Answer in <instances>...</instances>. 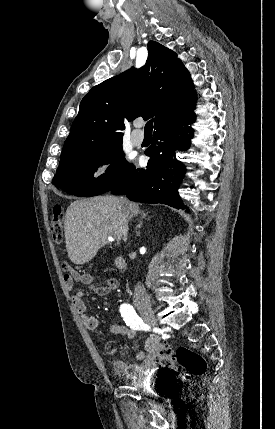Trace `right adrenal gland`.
<instances>
[{
    "label": "right adrenal gland",
    "instance_id": "1",
    "mask_svg": "<svg viewBox=\"0 0 275 429\" xmlns=\"http://www.w3.org/2000/svg\"><path fill=\"white\" fill-rule=\"evenodd\" d=\"M148 213H149V212H144L143 210H140V211H139V214H140V220H139L138 225L136 226V233H137V235H140V231H139V229H140V228H141V226L143 225V219H144V218H146V216H148Z\"/></svg>",
    "mask_w": 275,
    "mask_h": 429
}]
</instances>
